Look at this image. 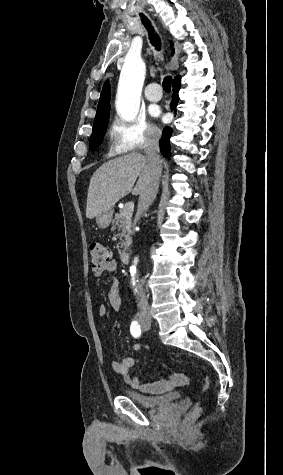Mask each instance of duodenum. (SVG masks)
Listing matches in <instances>:
<instances>
[{
  "mask_svg": "<svg viewBox=\"0 0 283 475\" xmlns=\"http://www.w3.org/2000/svg\"><path fill=\"white\" fill-rule=\"evenodd\" d=\"M120 259H121L122 263L126 264L130 260V254L128 252L124 251V252L121 253Z\"/></svg>",
  "mask_w": 283,
  "mask_h": 475,
  "instance_id": "obj_1",
  "label": "duodenum"
}]
</instances>
